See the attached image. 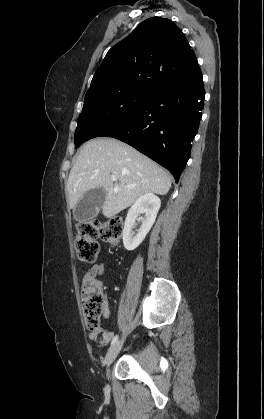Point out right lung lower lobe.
<instances>
[{
  "mask_svg": "<svg viewBox=\"0 0 264 419\" xmlns=\"http://www.w3.org/2000/svg\"><path fill=\"white\" fill-rule=\"evenodd\" d=\"M204 96L202 78L191 85L157 90L131 116L100 136L133 146L168 169L178 182L190 157Z\"/></svg>",
  "mask_w": 264,
  "mask_h": 419,
  "instance_id": "1",
  "label": "right lung lower lobe"
}]
</instances>
